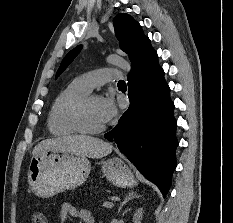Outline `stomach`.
<instances>
[{
	"label": "stomach",
	"mask_w": 233,
	"mask_h": 223,
	"mask_svg": "<svg viewBox=\"0 0 233 223\" xmlns=\"http://www.w3.org/2000/svg\"><path fill=\"white\" fill-rule=\"evenodd\" d=\"M103 175L118 187H133L137 181L128 165L112 157L101 161ZM91 163L86 155L64 149H41L30 159L28 183L37 197H53L66 189H75L86 181Z\"/></svg>",
	"instance_id": "0dacf381"
}]
</instances>
